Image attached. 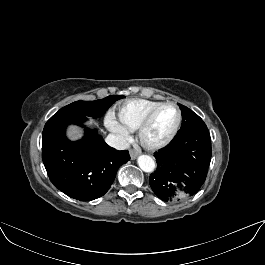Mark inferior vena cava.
Wrapping results in <instances>:
<instances>
[{
	"label": "inferior vena cava",
	"mask_w": 265,
	"mask_h": 265,
	"mask_svg": "<svg viewBox=\"0 0 265 265\" xmlns=\"http://www.w3.org/2000/svg\"><path fill=\"white\" fill-rule=\"evenodd\" d=\"M105 141L109 146L117 150H125L128 148L127 141L123 137L116 134H109Z\"/></svg>",
	"instance_id": "obj_1"
}]
</instances>
